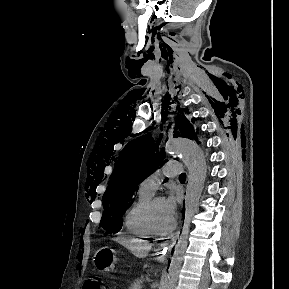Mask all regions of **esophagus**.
Returning a JSON list of instances; mask_svg holds the SVG:
<instances>
[{"label": "esophagus", "mask_w": 289, "mask_h": 289, "mask_svg": "<svg viewBox=\"0 0 289 289\" xmlns=\"http://www.w3.org/2000/svg\"><path fill=\"white\" fill-rule=\"evenodd\" d=\"M180 230L172 235L168 240L160 243L156 248V254L158 257H165L173 248L176 243L177 238L179 237Z\"/></svg>", "instance_id": "obj_1"}]
</instances>
